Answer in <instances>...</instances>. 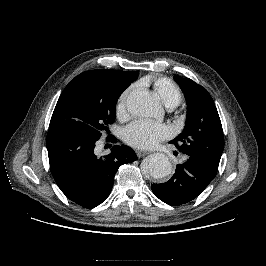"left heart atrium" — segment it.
I'll return each instance as SVG.
<instances>
[{
    "label": "left heart atrium",
    "instance_id": "obj_1",
    "mask_svg": "<svg viewBox=\"0 0 266 266\" xmlns=\"http://www.w3.org/2000/svg\"><path fill=\"white\" fill-rule=\"evenodd\" d=\"M171 135L170 128L150 120H136L123 131V138L130 146L149 149Z\"/></svg>",
    "mask_w": 266,
    "mask_h": 266
}]
</instances>
